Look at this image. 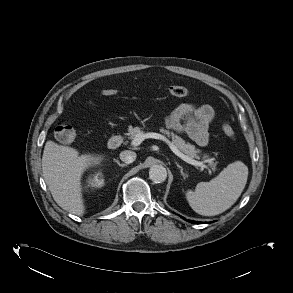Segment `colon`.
I'll use <instances>...</instances> for the list:
<instances>
[{
    "label": "colon",
    "mask_w": 293,
    "mask_h": 293,
    "mask_svg": "<svg viewBox=\"0 0 293 293\" xmlns=\"http://www.w3.org/2000/svg\"><path fill=\"white\" fill-rule=\"evenodd\" d=\"M106 96H114L119 93L115 89H106L102 92ZM168 93L174 97H185L189 94L186 87L183 86H170L168 88ZM223 132L226 136L231 139L235 138V131L229 122L225 121L222 125ZM55 136L57 140L63 144L71 143L76 136V131L74 127L66 122H60L55 128Z\"/></svg>",
    "instance_id": "5ec220e1"
}]
</instances>
